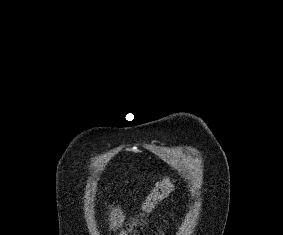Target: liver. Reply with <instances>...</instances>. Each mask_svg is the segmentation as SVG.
Wrapping results in <instances>:
<instances>
[{"label":"liver","mask_w":283,"mask_h":235,"mask_svg":"<svg viewBox=\"0 0 283 235\" xmlns=\"http://www.w3.org/2000/svg\"><path fill=\"white\" fill-rule=\"evenodd\" d=\"M110 230H116L122 227L125 216L120 208H113L110 213Z\"/></svg>","instance_id":"liver-1"}]
</instances>
